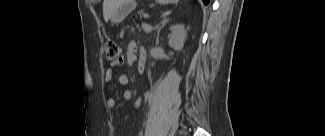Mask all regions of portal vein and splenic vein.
<instances>
[{
  "instance_id": "obj_1",
  "label": "portal vein and splenic vein",
  "mask_w": 325,
  "mask_h": 136,
  "mask_svg": "<svg viewBox=\"0 0 325 136\" xmlns=\"http://www.w3.org/2000/svg\"><path fill=\"white\" fill-rule=\"evenodd\" d=\"M142 27H143V28H148V27H149V25H147V24L143 23V24H142Z\"/></svg>"
}]
</instances>
